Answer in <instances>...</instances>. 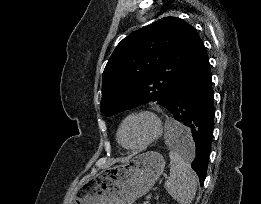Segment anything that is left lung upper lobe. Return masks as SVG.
<instances>
[{
    "instance_id": "5c2ea615",
    "label": "left lung upper lobe",
    "mask_w": 261,
    "mask_h": 204,
    "mask_svg": "<svg viewBox=\"0 0 261 204\" xmlns=\"http://www.w3.org/2000/svg\"><path fill=\"white\" fill-rule=\"evenodd\" d=\"M198 36L186 21L164 17L124 38L103 72L101 113L112 116L148 101L167 108Z\"/></svg>"
}]
</instances>
